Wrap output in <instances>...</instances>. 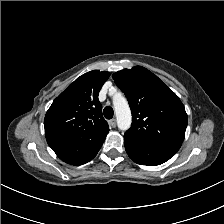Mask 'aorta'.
Segmentation results:
<instances>
[{"instance_id": "aorta-1", "label": "aorta", "mask_w": 224, "mask_h": 224, "mask_svg": "<svg viewBox=\"0 0 224 224\" xmlns=\"http://www.w3.org/2000/svg\"><path fill=\"white\" fill-rule=\"evenodd\" d=\"M117 125L120 130H128L131 126L132 116L127 100L120 96L113 99Z\"/></svg>"}]
</instances>
